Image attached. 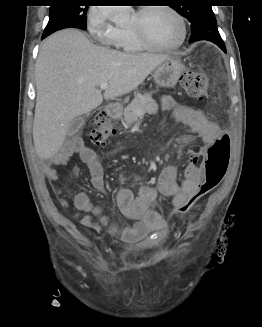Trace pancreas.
Wrapping results in <instances>:
<instances>
[{
    "label": "pancreas",
    "mask_w": 262,
    "mask_h": 327,
    "mask_svg": "<svg viewBox=\"0 0 262 327\" xmlns=\"http://www.w3.org/2000/svg\"><path fill=\"white\" fill-rule=\"evenodd\" d=\"M158 105L152 99L150 93L136 96L132 102L124 109L122 123L129 126L136 122L138 118L146 113L149 115L157 114ZM139 112V113H138Z\"/></svg>",
    "instance_id": "1"
}]
</instances>
